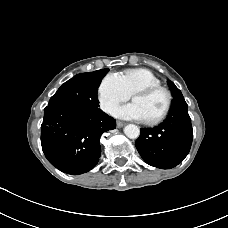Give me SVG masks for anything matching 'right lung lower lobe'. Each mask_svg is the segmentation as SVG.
Instances as JSON below:
<instances>
[{
    "label": "right lung lower lobe",
    "mask_w": 228,
    "mask_h": 228,
    "mask_svg": "<svg viewBox=\"0 0 228 228\" xmlns=\"http://www.w3.org/2000/svg\"><path fill=\"white\" fill-rule=\"evenodd\" d=\"M115 127V119L101 109L49 105L44 109L41 125L42 149L48 161L60 171L82 174L99 161L102 133Z\"/></svg>",
    "instance_id": "98d812e1"
}]
</instances>
